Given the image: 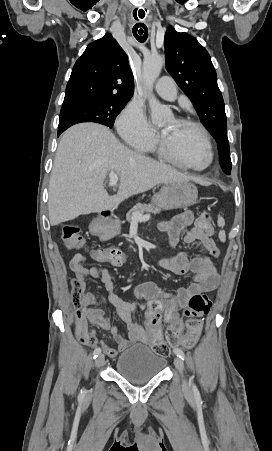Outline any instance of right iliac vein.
I'll return each mask as SVG.
<instances>
[{
    "instance_id": "right-iliac-vein-1",
    "label": "right iliac vein",
    "mask_w": 272,
    "mask_h": 451,
    "mask_svg": "<svg viewBox=\"0 0 272 451\" xmlns=\"http://www.w3.org/2000/svg\"><path fill=\"white\" fill-rule=\"evenodd\" d=\"M104 365V356L103 355H99L95 361V366L97 369H99L100 367H102Z\"/></svg>"
}]
</instances>
